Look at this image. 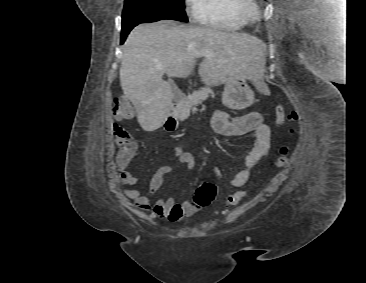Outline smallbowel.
Returning <instances> with one entry per match:
<instances>
[{
  "mask_svg": "<svg viewBox=\"0 0 366 283\" xmlns=\"http://www.w3.org/2000/svg\"><path fill=\"white\" fill-rule=\"evenodd\" d=\"M212 125L216 133L221 136L235 137L251 134L253 137V145L244 159L245 167L234 174L229 181L231 186L241 187L248 181L251 169L268 154L271 138L270 128L264 123L263 116L259 112H250L230 119L221 110L214 113ZM175 152L178 160L186 164L187 169L191 170L194 167L195 161L191 153L184 151L181 146H177ZM170 172L169 166L160 167L150 180L148 193L131 188L124 191L125 196L132 200L139 210L148 211L150 198L161 188L165 175ZM215 174L217 177L221 176L218 168H215ZM119 178L122 185L135 186L138 183V177L128 170L127 165L119 164ZM196 210L190 202L177 203L173 198L158 199L152 207V213L155 217L171 222L192 215Z\"/></svg>",
  "mask_w": 366,
  "mask_h": 283,
  "instance_id": "1",
  "label": "small bowel"
}]
</instances>
